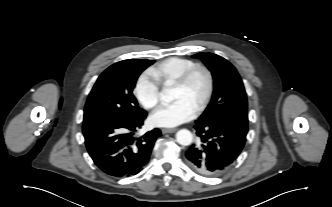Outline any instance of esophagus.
<instances>
[{
    "label": "esophagus",
    "mask_w": 332,
    "mask_h": 207,
    "mask_svg": "<svg viewBox=\"0 0 332 207\" xmlns=\"http://www.w3.org/2000/svg\"><path fill=\"white\" fill-rule=\"evenodd\" d=\"M161 131L163 134H166V133H173L176 131V129L175 128H163Z\"/></svg>",
    "instance_id": "obj_1"
}]
</instances>
